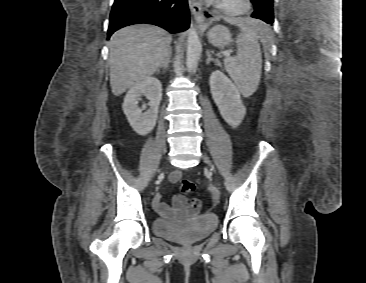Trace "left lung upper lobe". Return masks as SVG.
<instances>
[{"mask_svg":"<svg viewBox=\"0 0 366 283\" xmlns=\"http://www.w3.org/2000/svg\"><path fill=\"white\" fill-rule=\"evenodd\" d=\"M254 5L253 14L268 24H273V0H251Z\"/></svg>","mask_w":366,"mask_h":283,"instance_id":"5c2ea615","label":"left lung upper lobe"}]
</instances>
